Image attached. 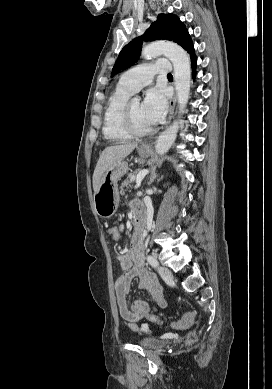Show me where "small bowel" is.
Here are the masks:
<instances>
[{
    "label": "small bowel",
    "instance_id": "small-bowel-1",
    "mask_svg": "<svg viewBox=\"0 0 272 389\" xmlns=\"http://www.w3.org/2000/svg\"><path fill=\"white\" fill-rule=\"evenodd\" d=\"M132 209L135 214L142 212V206L138 202L132 203ZM119 229L122 231L121 227ZM118 262L123 271L115 282L119 313L133 330H146V325L138 326L137 322L150 310L149 305L140 299H135L130 306L127 302L132 279H139V289L145 290L159 307L165 306V298L163 288L156 276L145 266L143 246L138 235L133 236L130 250L118 256Z\"/></svg>",
    "mask_w": 272,
    "mask_h": 389
}]
</instances>
